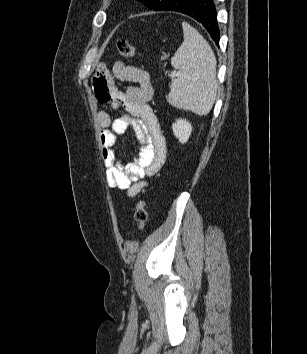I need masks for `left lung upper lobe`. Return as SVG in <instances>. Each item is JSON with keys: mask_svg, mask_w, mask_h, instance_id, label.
Returning a JSON list of instances; mask_svg holds the SVG:
<instances>
[{"mask_svg": "<svg viewBox=\"0 0 307 354\" xmlns=\"http://www.w3.org/2000/svg\"><path fill=\"white\" fill-rule=\"evenodd\" d=\"M145 3L146 7L158 11L165 4L168 3L169 0H139Z\"/></svg>", "mask_w": 307, "mask_h": 354, "instance_id": "left-lung-upper-lobe-1", "label": "left lung upper lobe"}]
</instances>
